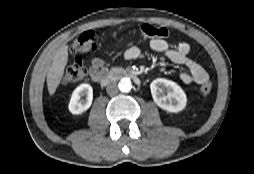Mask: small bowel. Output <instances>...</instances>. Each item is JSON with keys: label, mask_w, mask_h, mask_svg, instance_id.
<instances>
[{"label": "small bowel", "mask_w": 254, "mask_h": 174, "mask_svg": "<svg viewBox=\"0 0 254 174\" xmlns=\"http://www.w3.org/2000/svg\"><path fill=\"white\" fill-rule=\"evenodd\" d=\"M150 47L164 55L169 61L174 64L182 65L187 68V71L180 74V79L185 84L197 83L204 84L209 77L206 70L197 62L189 57L190 46L186 42H181L176 45H170L163 39H152ZM142 56V51L137 46H132L125 51L124 57L127 60H135ZM108 63L100 58H94L91 61L89 74L93 81H98L99 78L106 74Z\"/></svg>", "instance_id": "c3829d8e"}]
</instances>
